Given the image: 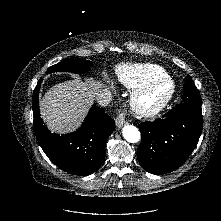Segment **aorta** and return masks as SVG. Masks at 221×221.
Segmentation results:
<instances>
[{
    "label": "aorta",
    "mask_w": 221,
    "mask_h": 221,
    "mask_svg": "<svg viewBox=\"0 0 221 221\" xmlns=\"http://www.w3.org/2000/svg\"><path fill=\"white\" fill-rule=\"evenodd\" d=\"M122 133L124 139L130 143H136L141 138L140 131L133 125L124 126Z\"/></svg>",
    "instance_id": "1"
}]
</instances>
